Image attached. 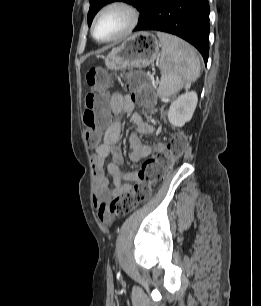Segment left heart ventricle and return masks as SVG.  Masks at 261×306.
<instances>
[{
    "label": "left heart ventricle",
    "instance_id": "obj_1",
    "mask_svg": "<svg viewBox=\"0 0 261 306\" xmlns=\"http://www.w3.org/2000/svg\"><path fill=\"white\" fill-rule=\"evenodd\" d=\"M128 23V15L120 9L107 11L98 21L95 35L98 39H107L119 34Z\"/></svg>",
    "mask_w": 261,
    "mask_h": 306
}]
</instances>
